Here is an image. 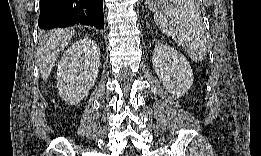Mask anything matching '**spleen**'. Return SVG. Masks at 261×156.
Segmentation results:
<instances>
[{
    "mask_svg": "<svg viewBox=\"0 0 261 156\" xmlns=\"http://www.w3.org/2000/svg\"><path fill=\"white\" fill-rule=\"evenodd\" d=\"M156 6L154 21L159 29L183 47L193 61H202L206 55V35L195 3L186 0L157 1Z\"/></svg>",
    "mask_w": 261,
    "mask_h": 156,
    "instance_id": "spleen-1",
    "label": "spleen"
}]
</instances>
